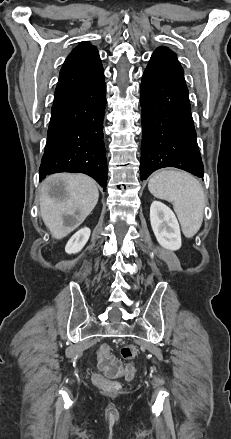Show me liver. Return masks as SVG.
I'll list each match as a JSON object with an SVG mask.
<instances>
[{"instance_id": "6515ba94", "label": "liver", "mask_w": 231, "mask_h": 439, "mask_svg": "<svg viewBox=\"0 0 231 439\" xmlns=\"http://www.w3.org/2000/svg\"><path fill=\"white\" fill-rule=\"evenodd\" d=\"M96 182L83 174L57 173L46 177L40 188V213L55 239H62L80 225L98 202ZM75 219L67 226L64 216Z\"/></svg>"}]
</instances>
